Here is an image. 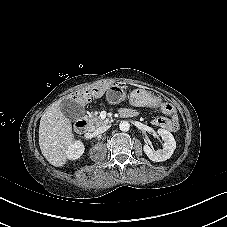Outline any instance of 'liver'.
<instances>
[{
    "label": "liver",
    "mask_w": 227,
    "mask_h": 227,
    "mask_svg": "<svg viewBox=\"0 0 227 227\" xmlns=\"http://www.w3.org/2000/svg\"><path fill=\"white\" fill-rule=\"evenodd\" d=\"M61 101L51 104L41 117L39 146L46 160L55 167L65 165L66 150L74 142L71 121L60 109Z\"/></svg>",
    "instance_id": "1"
}]
</instances>
